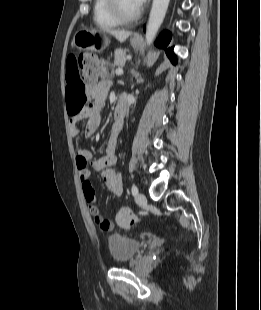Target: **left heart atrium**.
Returning <instances> with one entry per match:
<instances>
[{
  "mask_svg": "<svg viewBox=\"0 0 261 310\" xmlns=\"http://www.w3.org/2000/svg\"><path fill=\"white\" fill-rule=\"evenodd\" d=\"M138 8L140 9L146 0H134Z\"/></svg>",
  "mask_w": 261,
  "mask_h": 310,
  "instance_id": "left-heart-atrium-1",
  "label": "left heart atrium"
}]
</instances>
